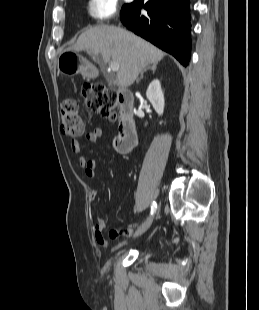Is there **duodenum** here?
I'll use <instances>...</instances> for the list:
<instances>
[{
  "instance_id": "1",
  "label": "duodenum",
  "mask_w": 259,
  "mask_h": 310,
  "mask_svg": "<svg viewBox=\"0 0 259 310\" xmlns=\"http://www.w3.org/2000/svg\"><path fill=\"white\" fill-rule=\"evenodd\" d=\"M118 103L120 107V121L116 145L122 153H129L137 143L132 94L127 90L118 91Z\"/></svg>"
}]
</instances>
